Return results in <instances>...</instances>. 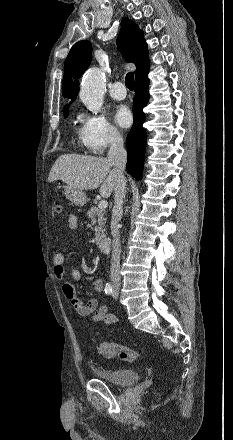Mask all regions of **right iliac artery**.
<instances>
[{
  "label": "right iliac artery",
  "instance_id": "82829eb1",
  "mask_svg": "<svg viewBox=\"0 0 233 440\" xmlns=\"http://www.w3.org/2000/svg\"><path fill=\"white\" fill-rule=\"evenodd\" d=\"M105 293L110 295L112 293V285L110 283H107L105 286Z\"/></svg>",
  "mask_w": 233,
  "mask_h": 440
}]
</instances>
